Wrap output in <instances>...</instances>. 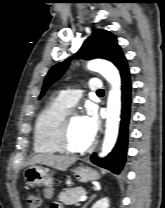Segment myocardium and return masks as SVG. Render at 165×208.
I'll list each match as a JSON object with an SVG mask.
<instances>
[{"label": "myocardium", "mask_w": 165, "mask_h": 208, "mask_svg": "<svg viewBox=\"0 0 165 208\" xmlns=\"http://www.w3.org/2000/svg\"><path fill=\"white\" fill-rule=\"evenodd\" d=\"M78 113L76 112H67L64 116L59 132H58V146L62 153L67 154H85L89 151H91L95 146V141H92L88 146L81 148V149H75L72 148L68 142V133L70 129L71 120L74 116H77Z\"/></svg>", "instance_id": "obj_1"}]
</instances>
